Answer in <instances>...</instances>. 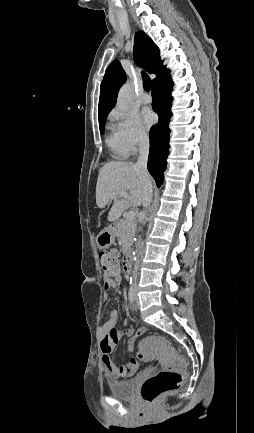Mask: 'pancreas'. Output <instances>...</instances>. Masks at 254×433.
Masks as SVG:
<instances>
[{
  "instance_id": "cf45deb5",
  "label": "pancreas",
  "mask_w": 254,
  "mask_h": 433,
  "mask_svg": "<svg viewBox=\"0 0 254 433\" xmlns=\"http://www.w3.org/2000/svg\"><path fill=\"white\" fill-rule=\"evenodd\" d=\"M136 231V221L129 219H120L116 225L115 234L119 237L123 247L132 243Z\"/></svg>"
}]
</instances>
